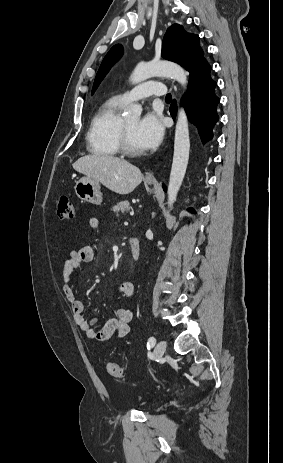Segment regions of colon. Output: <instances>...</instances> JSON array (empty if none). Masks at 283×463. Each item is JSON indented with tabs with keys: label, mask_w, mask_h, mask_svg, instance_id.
<instances>
[{
	"label": "colon",
	"mask_w": 283,
	"mask_h": 463,
	"mask_svg": "<svg viewBox=\"0 0 283 463\" xmlns=\"http://www.w3.org/2000/svg\"><path fill=\"white\" fill-rule=\"evenodd\" d=\"M57 214L61 220H73L76 216L74 203L71 198L62 196L57 207ZM107 372L114 378H122L123 370L121 366L114 362H108L106 365Z\"/></svg>",
	"instance_id": "colon-1"
}]
</instances>
